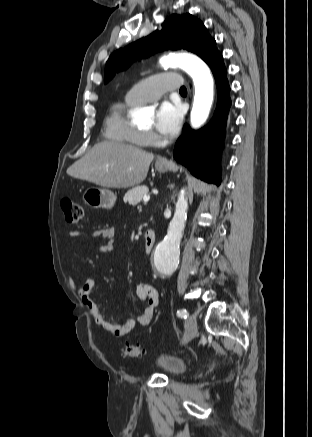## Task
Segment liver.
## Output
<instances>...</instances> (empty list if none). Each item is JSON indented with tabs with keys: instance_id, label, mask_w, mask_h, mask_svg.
Listing matches in <instances>:
<instances>
[{
	"instance_id": "obj_1",
	"label": "liver",
	"mask_w": 312,
	"mask_h": 437,
	"mask_svg": "<svg viewBox=\"0 0 312 437\" xmlns=\"http://www.w3.org/2000/svg\"><path fill=\"white\" fill-rule=\"evenodd\" d=\"M154 159L138 147L103 141L95 144L67 170L70 176L108 188H128L143 182Z\"/></svg>"
}]
</instances>
